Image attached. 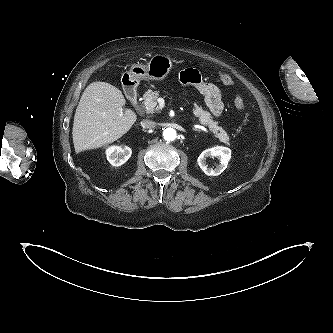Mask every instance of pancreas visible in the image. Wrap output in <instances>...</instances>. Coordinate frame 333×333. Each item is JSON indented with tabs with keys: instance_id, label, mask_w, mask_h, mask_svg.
<instances>
[{
	"instance_id": "1",
	"label": "pancreas",
	"mask_w": 333,
	"mask_h": 333,
	"mask_svg": "<svg viewBox=\"0 0 333 333\" xmlns=\"http://www.w3.org/2000/svg\"><path fill=\"white\" fill-rule=\"evenodd\" d=\"M144 108L146 110V113H153L156 110L157 106V99L159 97L158 91H153L149 89L144 94ZM194 107L192 109L193 114L199 118L200 122L203 125H206L209 127L210 131L215 134V136L219 139L220 142H223L226 145H230L229 143V136L225 132V130L222 129V127L217 125L216 121L212 120V116L209 112L202 109L201 106H199L196 102L193 104Z\"/></svg>"
}]
</instances>
